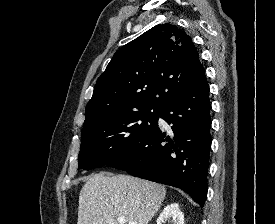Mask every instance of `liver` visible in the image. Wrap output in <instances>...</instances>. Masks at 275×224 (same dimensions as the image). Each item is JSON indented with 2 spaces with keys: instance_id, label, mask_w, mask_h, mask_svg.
I'll return each instance as SVG.
<instances>
[{
  "instance_id": "obj_1",
  "label": "liver",
  "mask_w": 275,
  "mask_h": 224,
  "mask_svg": "<svg viewBox=\"0 0 275 224\" xmlns=\"http://www.w3.org/2000/svg\"><path fill=\"white\" fill-rule=\"evenodd\" d=\"M166 188L129 175L88 178L79 195L77 224H148L160 209Z\"/></svg>"
}]
</instances>
